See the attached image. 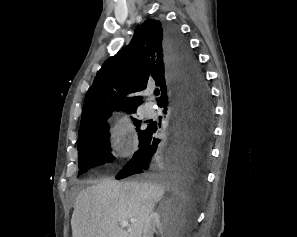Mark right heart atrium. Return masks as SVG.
I'll use <instances>...</instances> for the list:
<instances>
[{
	"instance_id": "obj_1",
	"label": "right heart atrium",
	"mask_w": 297,
	"mask_h": 237,
	"mask_svg": "<svg viewBox=\"0 0 297 237\" xmlns=\"http://www.w3.org/2000/svg\"><path fill=\"white\" fill-rule=\"evenodd\" d=\"M113 145L117 150L122 149L127 144L126 131L127 127L125 123L118 121L112 128Z\"/></svg>"
}]
</instances>
